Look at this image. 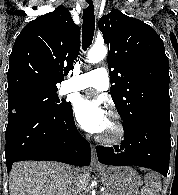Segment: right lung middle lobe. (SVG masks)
Returning a JSON list of instances; mask_svg holds the SVG:
<instances>
[{
	"mask_svg": "<svg viewBox=\"0 0 178 195\" xmlns=\"http://www.w3.org/2000/svg\"><path fill=\"white\" fill-rule=\"evenodd\" d=\"M55 90L30 89L8 96V111L16 108L36 109L41 111H62L71 106L61 102Z\"/></svg>",
	"mask_w": 178,
	"mask_h": 195,
	"instance_id": "1",
	"label": "right lung middle lobe"
}]
</instances>
